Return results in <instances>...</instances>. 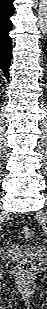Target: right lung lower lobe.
Listing matches in <instances>:
<instances>
[{"instance_id":"1","label":"right lung lower lobe","mask_w":47,"mask_h":309,"mask_svg":"<svg viewBox=\"0 0 47 309\" xmlns=\"http://www.w3.org/2000/svg\"><path fill=\"white\" fill-rule=\"evenodd\" d=\"M13 1L0 0V69L8 80L12 56V42L8 33L12 29L10 17L14 13Z\"/></svg>"}]
</instances>
